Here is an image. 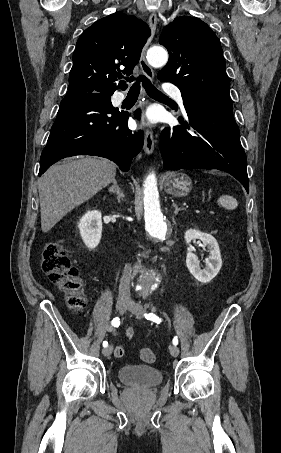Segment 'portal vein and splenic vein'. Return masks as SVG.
<instances>
[{
    "label": "portal vein and splenic vein",
    "mask_w": 281,
    "mask_h": 453,
    "mask_svg": "<svg viewBox=\"0 0 281 453\" xmlns=\"http://www.w3.org/2000/svg\"><path fill=\"white\" fill-rule=\"evenodd\" d=\"M189 206L188 205H185V208H188ZM193 211H195L196 213H200V210H198L197 208H193ZM210 214L212 215H217L218 213L215 211V210H210L209 211Z\"/></svg>",
    "instance_id": "18ae733b"
}]
</instances>
